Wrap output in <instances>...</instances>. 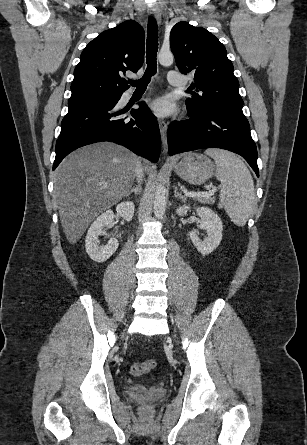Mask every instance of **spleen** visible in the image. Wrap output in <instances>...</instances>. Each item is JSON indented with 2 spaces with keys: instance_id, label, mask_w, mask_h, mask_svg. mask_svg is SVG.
<instances>
[{
  "instance_id": "obj_1",
  "label": "spleen",
  "mask_w": 307,
  "mask_h": 445,
  "mask_svg": "<svg viewBox=\"0 0 307 445\" xmlns=\"http://www.w3.org/2000/svg\"><path fill=\"white\" fill-rule=\"evenodd\" d=\"M217 166L216 176L221 182L220 202L223 204L232 223L244 227L249 216L257 208L252 174L243 160L223 148H207Z\"/></svg>"
}]
</instances>
